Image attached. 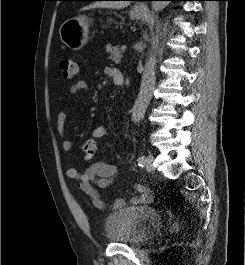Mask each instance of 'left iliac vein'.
Wrapping results in <instances>:
<instances>
[{
	"label": "left iliac vein",
	"instance_id": "4c4485c4",
	"mask_svg": "<svg viewBox=\"0 0 245 265\" xmlns=\"http://www.w3.org/2000/svg\"><path fill=\"white\" fill-rule=\"evenodd\" d=\"M145 167H146V170L149 172H153L155 170V167L153 165V156L149 155L146 158Z\"/></svg>",
	"mask_w": 245,
	"mask_h": 265
}]
</instances>
